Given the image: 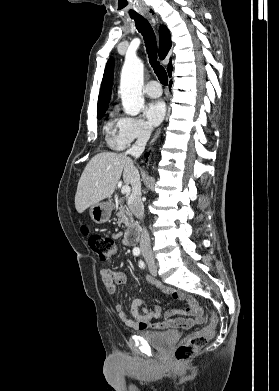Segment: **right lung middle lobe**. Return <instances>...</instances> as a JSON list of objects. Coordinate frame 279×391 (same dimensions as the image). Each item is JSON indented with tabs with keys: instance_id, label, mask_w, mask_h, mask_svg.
<instances>
[{
	"instance_id": "obj_1",
	"label": "right lung middle lobe",
	"mask_w": 279,
	"mask_h": 391,
	"mask_svg": "<svg viewBox=\"0 0 279 391\" xmlns=\"http://www.w3.org/2000/svg\"><path fill=\"white\" fill-rule=\"evenodd\" d=\"M105 112H106V109H103L101 111H97V117L101 118L105 114Z\"/></svg>"
}]
</instances>
